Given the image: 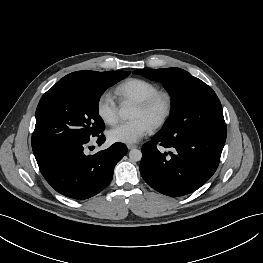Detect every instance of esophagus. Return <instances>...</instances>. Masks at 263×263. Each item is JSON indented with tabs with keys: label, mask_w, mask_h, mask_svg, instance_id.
I'll use <instances>...</instances> for the list:
<instances>
[{
	"label": "esophagus",
	"mask_w": 263,
	"mask_h": 263,
	"mask_svg": "<svg viewBox=\"0 0 263 263\" xmlns=\"http://www.w3.org/2000/svg\"><path fill=\"white\" fill-rule=\"evenodd\" d=\"M137 145H134V144H128L127 145V148L130 150V149H133V148H136Z\"/></svg>",
	"instance_id": "obj_1"
}]
</instances>
